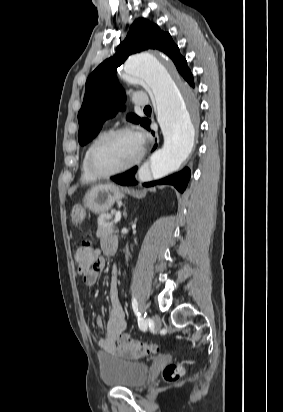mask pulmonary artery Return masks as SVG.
<instances>
[{
    "mask_svg": "<svg viewBox=\"0 0 283 412\" xmlns=\"http://www.w3.org/2000/svg\"><path fill=\"white\" fill-rule=\"evenodd\" d=\"M132 100L134 104L138 106H147L149 103L148 97L144 93H141V92L134 93Z\"/></svg>",
    "mask_w": 283,
    "mask_h": 412,
    "instance_id": "pulmonary-artery-1",
    "label": "pulmonary artery"
}]
</instances>
